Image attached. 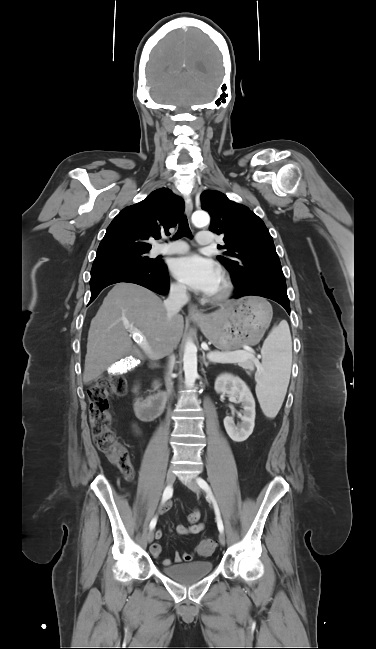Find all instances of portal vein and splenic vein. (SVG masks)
<instances>
[{
	"label": "portal vein and splenic vein",
	"instance_id": "portal-vein-and-splenic-vein-1",
	"mask_svg": "<svg viewBox=\"0 0 376 649\" xmlns=\"http://www.w3.org/2000/svg\"><path fill=\"white\" fill-rule=\"evenodd\" d=\"M129 330L133 335V339L142 346L145 351H149V346L146 339L136 332L132 326H129ZM208 359L215 363H235L245 361L247 359H255L253 354L242 351V352H227V353H209Z\"/></svg>",
	"mask_w": 376,
	"mask_h": 649
}]
</instances>
